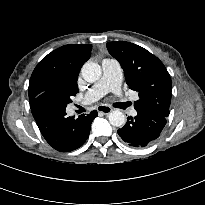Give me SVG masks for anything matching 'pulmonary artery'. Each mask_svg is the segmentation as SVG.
<instances>
[{
	"instance_id": "e3ab8cb5",
	"label": "pulmonary artery",
	"mask_w": 205,
	"mask_h": 205,
	"mask_svg": "<svg viewBox=\"0 0 205 205\" xmlns=\"http://www.w3.org/2000/svg\"><path fill=\"white\" fill-rule=\"evenodd\" d=\"M102 69V78L86 93L82 102L83 104H90L97 101L108 91H119L122 79L119 62L114 59H105L102 62ZM130 114L136 116L137 111L132 108Z\"/></svg>"
}]
</instances>
